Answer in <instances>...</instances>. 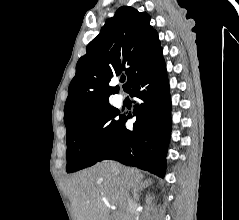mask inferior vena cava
Listing matches in <instances>:
<instances>
[{
  "mask_svg": "<svg viewBox=\"0 0 239 220\" xmlns=\"http://www.w3.org/2000/svg\"><path fill=\"white\" fill-rule=\"evenodd\" d=\"M111 165L113 166L115 170L117 169V166L115 163L111 162ZM124 208H125V214L123 215V220H136V217H135L136 203L130 197V194L128 192H125L124 194Z\"/></svg>",
  "mask_w": 239,
  "mask_h": 220,
  "instance_id": "obj_1",
  "label": "inferior vena cava"
}]
</instances>
